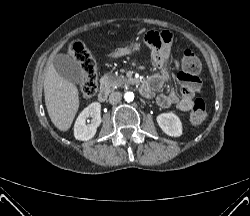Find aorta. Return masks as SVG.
I'll list each match as a JSON object with an SVG mask.
<instances>
[{
	"label": "aorta",
	"mask_w": 250,
	"mask_h": 216,
	"mask_svg": "<svg viewBox=\"0 0 250 216\" xmlns=\"http://www.w3.org/2000/svg\"><path fill=\"white\" fill-rule=\"evenodd\" d=\"M124 98L127 102H131L134 100V93L133 92H126Z\"/></svg>",
	"instance_id": "obj_1"
}]
</instances>
